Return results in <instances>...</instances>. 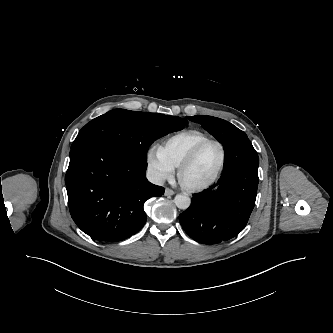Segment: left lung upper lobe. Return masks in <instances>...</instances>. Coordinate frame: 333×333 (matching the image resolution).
<instances>
[{"label": "left lung upper lobe", "mask_w": 333, "mask_h": 333, "mask_svg": "<svg viewBox=\"0 0 333 333\" xmlns=\"http://www.w3.org/2000/svg\"><path fill=\"white\" fill-rule=\"evenodd\" d=\"M193 122H198L202 127L212 134L226 150L231 144L247 135L226 120L207 115L187 117Z\"/></svg>", "instance_id": "left-lung-upper-lobe-1"}]
</instances>
